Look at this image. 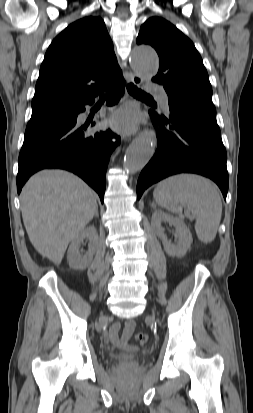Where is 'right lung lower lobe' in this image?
<instances>
[{"mask_svg":"<svg viewBox=\"0 0 253 413\" xmlns=\"http://www.w3.org/2000/svg\"><path fill=\"white\" fill-rule=\"evenodd\" d=\"M124 85L121 74L108 85V106L117 104L124 92ZM84 105L74 109L75 115L71 123L24 138L18 160V194L35 172L44 168H61L80 176L99 194L103 202L107 165L118 142L111 141L115 134L110 129L88 135L85 133L86 127L78 126L77 116L85 111Z\"/></svg>","mask_w":253,"mask_h":413,"instance_id":"obj_1","label":"right lung lower lobe"}]
</instances>
